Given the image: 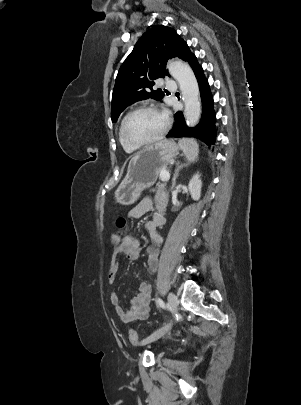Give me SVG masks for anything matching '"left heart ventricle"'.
<instances>
[{"label":"left heart ventricle","mask_w":301,"mask_h":405,"mask_svg":"<svg viewBox=\"0 0 301 405\" xmlns=\"http://www.w3.org/2000/svg\"><path fill=\"white\" fill-rule=\"evenodd\" d=\"M163 117L154 111H141L133 115L127 124L128 136L137 142L155 137L163 128Z\"/></svg>","instance_id":"obj_1"}]
</instances>
